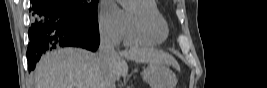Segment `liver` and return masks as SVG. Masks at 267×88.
Masks as SVG:
<instances>
[{"label":"liver","mask_w":267,"mask_h":88,"mask_svg":"<svg viewBox=\"0 0 267 88\" xmlns=\"http://www.w3.org/2000/svg\"><path fill=\"white\" fill-rule=\"evenodd\" d=\"M125 59L177 67L176 60L163 51L133 47L121 51L111 62L115 81L128 73ZM35 88H99L100 63L97 54L80 48H59L44 55L34 73Z\"/></svg>","instance_id":"1"}]
</instances>
